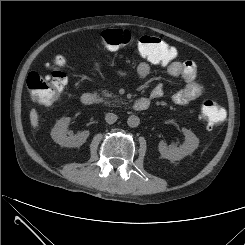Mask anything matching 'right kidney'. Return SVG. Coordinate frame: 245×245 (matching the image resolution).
<instances>
[{"label": "right kidney", "mask_w": 245, "mask_h": 245, "mask_svg": "<svg viewBox=\"0 0 245 245\" xmlns=\"http://www.w3.org/2000/svg\"><path fill=\"white\" fill-rule=\"evenodd\" d=\"M70 121V117H63L58 120L51 131V137L56 143L63 147H80L86 142L90 133L86 130L75 135L67 136V128Z\"/></svg>", "instance_id": "obj_1"}]
</instances>
